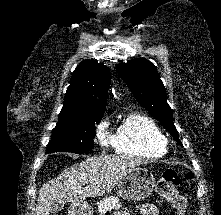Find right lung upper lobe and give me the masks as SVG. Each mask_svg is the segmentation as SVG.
Listing matches in <instances>:
<instances>
[{"instance_id": "cb5924a9", "label": "right lung upper lobe", "mask_w": 221, "mask_h": 215, "mask_svg": "<svg viewBox=\"0 0 221 215\" xmlns=\"http://www.w3.org/2000/svg\"><path fill=\"white\" fill-rule=\"evenodd\" d=\"M110 73L102 63L83 61L73 71L60 113L102 116L107 104Z\"/></svg>"}]
</instances>
